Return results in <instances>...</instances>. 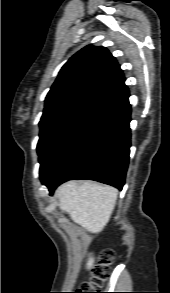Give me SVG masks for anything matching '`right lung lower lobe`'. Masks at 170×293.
Returning <instances> with one entry per match:
<instances>
[{"mask_svg":"<svg viewBox=\"0 0 170 293\" xmlns=\"http://www.w3.org/2000/svg\"><path fill=\"white\" fill-rule=\"evenodd\" d=\"M130 113L128 98L111 107L87 137L42 181L51 194L71 179H89L122 189L130 153Z\"/></svg>","mask_w":170,"mask_h":293,"instance_id":"obj_1","label":"right lung lower lobe"}]
</instances>
